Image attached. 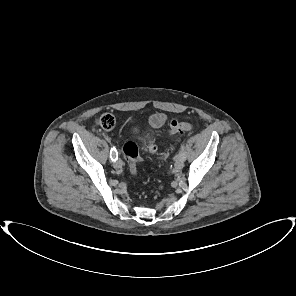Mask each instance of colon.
<instances>
[{
	"label": "colon",
	"mask_w": 296,
	"mask_h": 296,
	"mask_svg": "<svg viewBox=\"0 0 296 296\" xmlns=\"http://www.w3.org/2000/svg\"><path fill=\"white\" fill-rule=\"evenodd\" d=\"M97 125L104 130H112L115 126V119L110 114H104L97 120ZM192 129V124L188 122L172 121L168 128L169 134H178L190 131ZM148 150L151 153L157 151V145L154 143L148 144ZM122 154L127 162L128 169L132 175L136 173V166L141 162L139 157L138 147L132 142H126L122 147Z\"/></svg>",
	"instance_id": "obj_1"
}]
</instances>
